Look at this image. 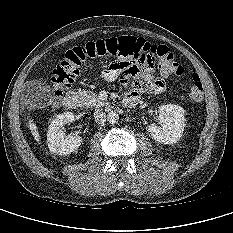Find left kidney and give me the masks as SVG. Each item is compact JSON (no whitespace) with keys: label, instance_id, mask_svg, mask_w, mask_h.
<instances>
[{"label":"left kidney","instance_id":"1","mask_svg":"<svg viewBox=\"0 0 233 233\" xmlns=\"http://www.w3.org/2000/svg\"><path fill=\"white\" fill-rule=\"evenodd\" d=\"M159 120L162 128L156 124L148 126V133L158 143H177L184 131V109L181 106L167 104L159 107Z\"/></svg>","mask_w":233,"mask_h":233}]
</instances>
